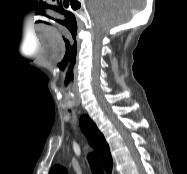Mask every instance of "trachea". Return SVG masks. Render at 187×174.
<instances>
[{
    "label": "trachea",
    "mask_w": 187,
    "mask_h": 174,
    "mask_svg": "<svg viewBox=\"0 0 187 174\" xmlns=\"http://www.w3.org/2000/svg\"><path fill=\"white\" fill-rule=\"evenodd\" d=\"M88 160L93 174H104V170L96 154H89Z\"/></svg>",
    "instance_id": "trachea-1"
}]
</instances>
